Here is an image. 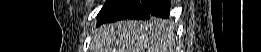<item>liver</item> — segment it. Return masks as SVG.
<instances>
[{
	"label": "liver",
	"mask_w": 261,
	"mask_h": 52,
	"mask_svg": "<svg viewBox=\"0 0 261 52\" xmlns=\"http://www.w3.org/2000/svg\"><path fill=\"white\" fill-rule=\"evenodd\" d=\"M173 39L166 20H123L103 24L95 31L93 52H169Z\"/></svg>",
	"instance_id": "6515ba94"
}]
</instances>
